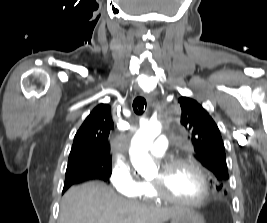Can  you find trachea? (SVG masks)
<instances>
[{
  "label": "trachea",
  "instance_id": "obj_1",
  "mask_svg": "<svg viewBox=\"0 0 267 223\" xmlns=\"http://www.w3.org/2000/svg\"><path fill=\"white\" fill-rule=\"evenodd\" d=\"M146 109V100L143 97H136L133 101V110L136 114H142L143 109Z\"/></svg>",
  "mask_w": 267,
  "mask_h": 223
}]
</instances>
